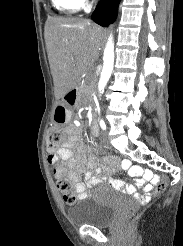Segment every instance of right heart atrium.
I'll return each instance as SVG.
<instances>
[{
	"label": "right heart atrium",
	"mask_w": 183,
	"mask_h": 246,
	"mask_svg": "<svg viewBox=\"0 0 183 246\" xmlns=\"http://www.w3.org/2000/svg\"><path fill=\"white\" fill-rule=\"evenodd\" d=\"M77 1L79 2L80 5H82L85 0H77Z\"/></svg>",
	"instance_id": "1"
}]
</instances>
